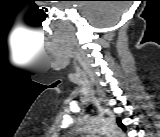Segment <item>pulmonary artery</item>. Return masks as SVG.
Segmentation results:
<instances>
[{
  "label": "pulmonary artery",
  "mask_w": 160,
  "mask_h": 137,
  "mask_svg": "<svg viewBox=\"0 0 160 137\" xmlns=\"http://www.w3.org/2000/svg\"><path fill=\"white\" fill-rule=\"evenodd\" d=\"M86 137H99V136H97V135H88Z\"/></svg>",
  "instance_id": "e3ab8cb5"
}]
</instances>
